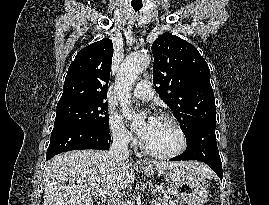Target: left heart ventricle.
<instances>
[{"mask_svg":"<svg viewBox=\"0 0 269 205\" xmlns=\"http://www.w3.org/2000/svg\"><path fill=\"white\" fill-rule=\"evenodd\" d=\"M144 143L152 151L168 153L180 146V137L171 123L158 119L152 134Z\"/></svg>","mask_w":269,"mask_h":205,"instance_id":"1","label":"left heart ventricle"}]
</instances>
